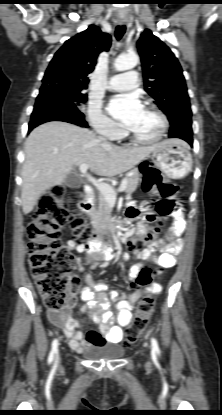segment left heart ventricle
Wrapping results in <instances>:
<instances>
[{
    "label": "left heart ventricle",
    "mask_w": 222,
    "mask_h": 415,
    "mask_svg": "<svg viewBox=\"0 0 222 415\" xmlns=\"http://www.w3.org/2000/svg\"><path fill=\"white\" fill-rule=\"evenodd\" d=\"M128 128L139 137L149 139L155 137L159 133L161 122L154 112L143 107L139 115Z\"/></svg>",
    "instance_id": "obj_1"
}]
</instances>
